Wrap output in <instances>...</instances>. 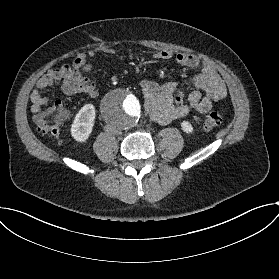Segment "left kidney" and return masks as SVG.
Listing matches in <instances>:
<instances>
[{
  "instance_id": "obj_1",
  "label": "left kidney",
  "mask_w": 279,
  "mask_h": 279,
  "mask_svg": "<svg viewBox=\"0 0 279 279\" xmlns=\"http://www.w3.org/2000/svg\"><path fill=\"white\" fill-rule=\"evenodd\" d=\"M181 130L186 133L187 135H193L194 134V127L192 123L188 120H182L180 123Z\"/></svg>"
}]
</instances>
